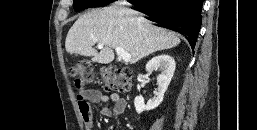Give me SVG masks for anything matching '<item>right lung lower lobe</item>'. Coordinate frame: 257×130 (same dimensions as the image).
I'll return each mask as SVG.
<instances>
[{
	"label": "right lung lower lobe",
	"instance_id": "obj_1",
	"mask_svg": "<svg viewBox=\"0 0 257 130\" xmlns=\"http://www.w3.org/2000/svg\"><path fill=\"white\" fill-rule=\"evenodd\" d=\"M203 0H164L138 5V11L158 26L176 31L186 37L192 49L195 47L201 27Z\"/></svg>",
	"mask_w": 257,
	"mask_h": 130
}]
</instances>
